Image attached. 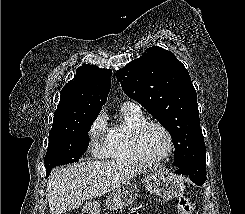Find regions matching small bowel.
I'll list each match as a JSON object with an SVG mask.
<instances>
[{
	"instance_id": "1",
	"label": "small bowel",
	"mask_w": 245,
	"mask_h": 214,
	"mask_svg": "<svg viewBox=\"0 0 245 214\" xmlns=\"http://www.w3.org/2000/svg\"><path fill=\"white\" fill-rule=\"evenodd\" d=\"M130 214H136V213H135V211H131V213H130Z\"/></svg>"
}]
</instances>
